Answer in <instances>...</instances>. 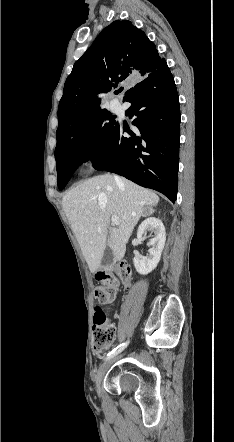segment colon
Masks as SVG:
<instances>
[{
	"label": "colon",
	"mask_w": 234,
	"mask_h": 442,
	"mask_svg": "<svg viewBox=\"0 0 234 442\" xmlns=\"http://www.w3.org/2000/svg\"><path fill=\"white\" fill-rule=\"evenodd\" d=\"M98 280L101 285L95 289V297L100 304H109L115 301L120 283L129 287L132 280V271L127 263L121 262L116 266L114 273L99 272ZM115 336V328L107 322V315L102 309H97L94 318L93 349L97 358L103 356L110 347Z\"/></svg>",
	"instance_id": "5ec220e1"
}]
</instances>
